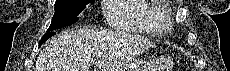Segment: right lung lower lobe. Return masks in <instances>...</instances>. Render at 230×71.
Masks as SVG:
<instances>
[{
    "label": "right lung lower lobe",
    "mask_w": 230,
    "mask_h": 71,
    "mask_svg": "<svg viewBox=\"0 0 230 71\" xmlns=\"http://www.w3.org/2000/svg\"><path fill=\"white\" fill-rule=\"evenodd\" d=\"M54 34H55V32H49V33L45 34V35L41 38L40 45H41L42 43H44L47 39H49L50 37H52Z\"/></svg>",
    "instance_id": "right-lung-lower-lobe-1"
}]
</instances>
